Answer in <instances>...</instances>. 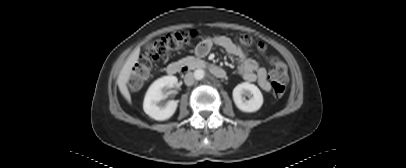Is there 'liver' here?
I'll return each mask as SVG.
<instances>
[{"label": "liver", "instance_id": "6515ba94", "mask_svg": "<svg viewBox=\"0 0 406 168\" xmlns=\"http://www.w3.org/2000/svg\"><path fill=\"white\" fill-rule=\"evenodd\" d=\"M139 58V51L134 50L130 56L128 57L127 61L125 62L124 66L122 67L119 76L117 78V84L121 94L124 98L131 103V96L130 92L127 87V83L132 73V68L134 67L135 63L138 61Z\"/></svg>", "mask_w": 406, "mask_h": 168}]
</instances>
